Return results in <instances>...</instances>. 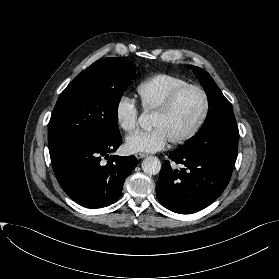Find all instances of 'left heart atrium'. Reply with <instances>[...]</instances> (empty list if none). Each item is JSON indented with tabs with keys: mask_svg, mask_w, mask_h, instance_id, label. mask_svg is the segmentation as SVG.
<instances>
[{
	"mask_svg": "<svg viewBox=\"0 0 279 279\" xmlns=\"http://www.w3.org/2000/svg\"><path fill=\"white\" fill-rule=\"evenodd\" d=\"M169 138L161 128L136 132L126 139V149L131 153H153L166 147Z\"/></svg>",
	"mask_w": 279,
	"mask_h": 279,
	"instance_id": "obj_1",
	"label": "left heart atrium"
}]
</instances>
